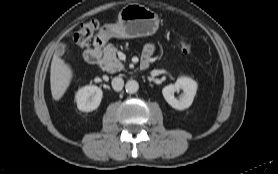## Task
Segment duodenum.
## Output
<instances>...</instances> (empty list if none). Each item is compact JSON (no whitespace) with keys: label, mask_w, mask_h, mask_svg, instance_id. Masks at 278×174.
I'll list each match as a JSON object with an SVG mask.
<instances>
[{"label":"duodenum","mask_w":278,"mask_h":174,"mask_svg":"<svg viewBox=\"0 0 278 174\" xmlns=\"http://www.w3.org/2000/svg\"><path fill=\"white\" fill-rule=\"evenodd\" d=\"M104 40L101 37H97L94 41L92 48L87 49L84 53V59L89 64H96L101 56V49L103 47ZM149 61L147 59L142 60L140 67L142 69L147 68Z\"/></svg>","instance_id":"duodenum-1"}]
</instances>
